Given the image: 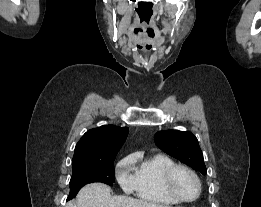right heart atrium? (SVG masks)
I'll return each mask as SVG.
<instances>
[{"label":"right heart atrium","instance_id":"obj_1","mask_svg":"<svg viewBox=\"0 0 261 207\" xmlns=\"http://www.w3.org/2000/svg\"><path fill=\"white\" fill-rule=\"evenodd\" d=\"M132 158L127 156L123 158L116 167V178L122 187V189L127 192H133L136 186V178L133 173H131Z\"/></svg>","mask_w":261,"mask_h":207}]
</instances>
